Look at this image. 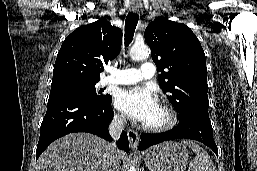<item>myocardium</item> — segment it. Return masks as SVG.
<instances>
[{
    "label": "myocardium",
    "mask_w": 257,
    "mask_h": 171,
    "mask_svg": "<svg viewBox=\"0 0 257 171\" xmlns=\"http://www.w3.org/2000/svg\"><path fill=\"white\" fill-rule=\"evenodd\" d=\"M159 106L167 116L166 121L157 125H150V124L143 123L142 127L144 130L161 133V132L169 131L176 126L178 122V114L174 109V107L170 103L165 101L160 102Z\"/></svg>",
    "instance_id": "myocardium-1"
}]
</instances>
